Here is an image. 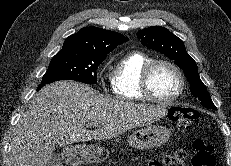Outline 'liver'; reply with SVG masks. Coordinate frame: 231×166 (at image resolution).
Returning <instances> with one entry per match:
<instances>
[{
    "label": "liver",
    "instance_id": "1",
    "mask_svg": "<svg viewBox=\"0 0 231 166\" xmlns=\"http://www.w3.org/2000/svg\"><path fill=\"white\" fill-rule=\"evenodd\" d=\"M165 115L161 106L112 100L75 81L55 82L43 87L21 116L10 160L13 166H46L57 145L114 138ZM91 126L95 130L87 129Z\"/></svg>",
    "mask_w": 231,
    "mask_h": 166
}]
</instances>
